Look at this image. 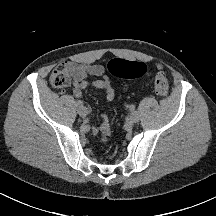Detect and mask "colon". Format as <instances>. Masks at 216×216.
<instances>
[{
  "label": "colon",
  "instance_id": "colon-1",
  "mask_svg": "<svg viewBox=\"0 0 216 216\" xmlns=\"http://www.w3.org/2000/svg\"><path fill=\"white\" fill-rule=\"evenodd\" d=\"M109 72L119 78H138L145 74L146 65L142 62H131L124 59H113L108 63ZM50 82L54 87L65 88L70 83V73L67 65L61 64L50 75ZM155 92L159 97H166L169 93V84L163 73H157L154 80ZM100 142L107 144L113 138L110 119L102 115L97 129Z\"/></svg>",
  "mask_w": 216,
  "mask_h": 216
}]
</instances>
